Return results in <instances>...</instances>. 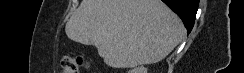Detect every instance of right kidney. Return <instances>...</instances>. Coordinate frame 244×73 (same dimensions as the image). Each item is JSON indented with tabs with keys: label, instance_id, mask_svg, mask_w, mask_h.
Instances as JSON below:
<instances>
[{
	"label": "right kidney",
	"instance_id": "obj_1",
	"mask_svg": "<svg viewBox=\"0 0 244 73\" xmlns=\"http://www.w3.org/2000/svg\"><path fill=\"white\" fill-rule=\"evenodd\" d=\"M129 73H148V69L146 67L140 66L132 69Z\"/></svg>",
	"mask_w": 244,
	"mask_h": 73
}]
</instances>
